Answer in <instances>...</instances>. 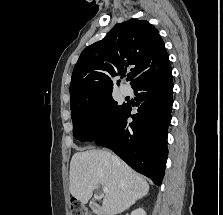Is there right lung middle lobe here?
I'll return each mask as SVG.
<instances>
[{
  "label": "right lung middle lobe",
  "mask_w": 223,
  "mask_h": 215,
  "mask_svg": "<svg viewBox=\"0 0 223 215\" xmlns=\"http://www.w3.org/2000/svg\"><path fill=\"white\" fill-rule=\"evenodd\" d=\"M127 104L118 105L112 95L71 108L73 135L80 141H98L112 131Z\"/></svg>",
  "instance_id": "obj_1"
}]
</instances>
